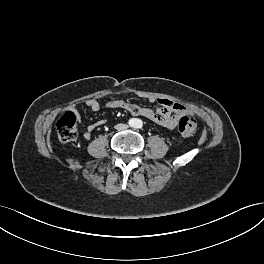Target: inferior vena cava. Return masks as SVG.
I'll return each mask as SVG.
<instances>
[{
	"instance_id": "obj_1",
	"label": "inferior vena cava",
	"mask_w": 264,
	"mask_h": 264,
	"mask_svg": "<svg viewBox=\"0 0 264 264\" xmlns=\"http://www.w3.org/2000/svg\"><path fill=\"white\" fill-rule=\"evenodd\" d=\"M115 128L118 129V130H125V129L128 128V125H126V124H118V125L115 126Z\"/></svg>"
}]
</instances>
